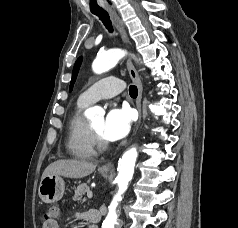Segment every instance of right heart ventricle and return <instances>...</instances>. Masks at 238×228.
<instances>
[{
	"mask_svg": "<svg viewBox=\"0 0 238 228\" xmlns=\"http://www.w3.org/2000/svg\"><path fill=\"white\" fill-rule=\"evenodd\" d=\"M88 104L78 99L71 112L67 124L66 147L70 155L80 159H90L96 156L89 125L83 115Z\"/></svg>",
	"mask_w": 238,
	"mask_h": 228,
	"instance_id": "1",
	"label": "right heart ventricle"
}]
</instances>
